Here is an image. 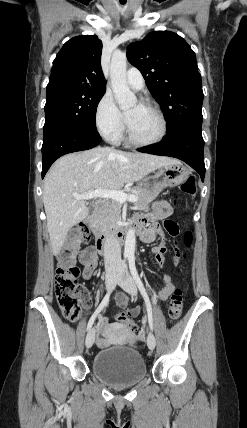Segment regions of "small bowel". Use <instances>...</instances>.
Segmentation results:
<instances>
[{"label": "small bowel", "mask_w": 247, "mask_h": 428, "mask_svg": "<svg viewBox=\"0 0 247 428\" xmlns=\"http://www.w3.org/2000/svg\"><path fill=\"white\" fill-rule=\"evenodd\" d=\"M171 212H172V208H171L170 204L166 201H161V202H158L154 205L152 215H142V216L138 217L145 224L144 230L140 235L143 242L149 243V242L153 241V239H154L155 233L158 229V225L154 222V219L165 220L170 216ZM167 224L168 223H166V228H167ZM166 251H167V247H166L165 243H161L160 245L155 246L152 249L151 253H152V256L157 260L158 263H164ZM80 259H81V262L84 266L83 278L84 279L91 278L93 271H94V268H95L96 263H97V254H96L95 249L94 248L85 249L84 251H82V253L80 255ZM88 259L92 260L93 263L91 265L87 263ZM174 288H175V286H174V283H173L170 275L165 274L163 276V285L157 294L158 298L162 301L167 300L168 297L170 296V294L174 291ZM118 302L122 307H125L126 302H127V297L124 295H121L118 298ZM85 304H86V306L89 305V299L87 297L85 298ZM131 309H135V308H131ZM133 323L136 324L134 321H133ZM101 327L103 329H105L106 323L103 322L101 324ZM133 336H137V339H133ZM139 338H140V336L138 334L128 332V338H127L128 342L130 340H135L137 342L139 340ZM96 343L99 347H107L111 344V340L107 339L103 336H98L96 339Z\"/></svg>", "instance_id": "small-bowel-1"}]
</instances>
